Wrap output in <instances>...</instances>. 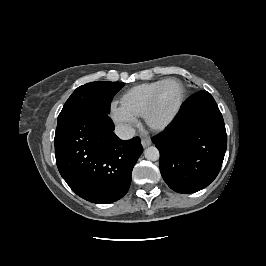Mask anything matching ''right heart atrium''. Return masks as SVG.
Returning a JSON list of instances; mask_svg holds the SVG:
<instances>
[{"mask_svg": "<svg viewBox=\"0 0 266 266\" xmlns=\"http://www.w3.org/2000/svg\"><path fill=\"white\" fill-rule=\"evenodd\" d=\"M110 115L113 121L117 124L133 125L136 122V117L116 102L110 104Z\"/></svg>", "mask_w": 266, "mask_h": 266, "instance_id": "d8ad5b80", "label": "right heart atrium"}]
</instances>
